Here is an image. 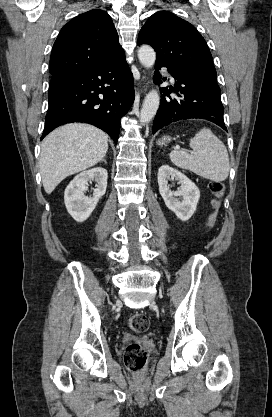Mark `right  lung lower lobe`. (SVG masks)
Here are the masks:
<instances>
[{
    "label": "right lung lower lobe",
    "mask_w": 272,
    "mask_h": 417,
    "mask_svg": "<svg viewBox=\"0 0 272 417\" xmlns=\"http://www.w3.org/2000/svg\"><path fill=\"white\" fill-rule=\"evenodd\" d=\"M134 98L133 75L123 50L95 68L55 75L41 140L62 124L85 122L104 130L117 143L120 119Z\"/></svg>",
    "instance_id": "obj_1"
}]
</instances>
